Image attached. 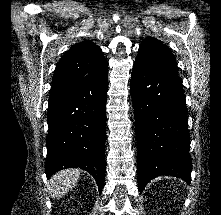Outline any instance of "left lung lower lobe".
<instances>
[{
    "instance_id": "left-lung-lower-lobe-1",
    "label": "left lung lower lobe",
    "mask_w": 221,
    "mask_h": 215,
    "mask_svg": "<svg viewBox=\"0 0 221 215\" xmlns=\"http://www.w3.org/2000/svg\"><path fill=\"white\" fill-rule=\"evenodd\" d=\"M138 144V187L159 175L191 181L190 136L179 76L135 62L130 83Z\"/></svg>"
}]
</instances>
